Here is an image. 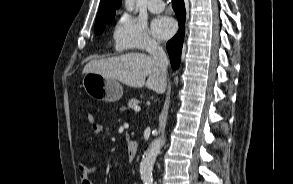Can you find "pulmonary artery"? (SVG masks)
<instances>
[{"label":"pulmonary artery","mask_w":293,"mask_h":184,"mask_svg":"<svg viewBox=\"0 0 293 184\" xmlns=\"http://www.w3.org/2000/svg\"><path fill=\"white\" fill-rule=\"evenodd\" d=\"M165 8L162 0H149L148 9L152 13H161Z\"/></svg>","instance_id":"obj_1"}]
</instances>
